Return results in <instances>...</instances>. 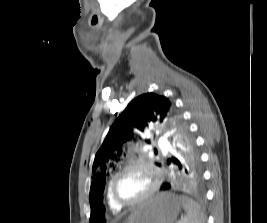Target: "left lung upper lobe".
Here are the masks:
<instances>
[{
	"label": "left lung upper lobe",
	"instance_id": "left-lung-upper-lobe-1",
	"mask_svg": "<svg viewBox=\"0 0 267 223\" xmlns=\"http://www.w3.org/2000/svg\"><path fill=\"white\" fill-rule=\"evenodd\" d=\"M156 125L163 126L170 133L181 152L182 165L177 160L173 162L183 171H202L195 141L181 115L175 111L173 103L165 96L154 93L143 94L132 100L115 120L96 153L92 167L94 181L87 199V204L91 206L92 217L95 215L98 220L103 218L105 211H108V206H103L102 203L105 181L110 167L119 161L124 145L141 140L139 133L151 131ZM145 142L150 143V140ZM156 165L160 166L159 163Z\"/></svg>",
	"mask_w": 267,
	"mask_h": 223
}]
</instances>
